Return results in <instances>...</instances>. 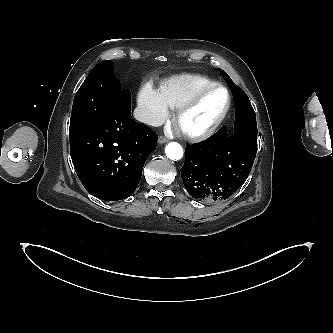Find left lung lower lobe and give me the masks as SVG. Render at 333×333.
Here are the masks:
<instances>
[{
    "label": "left lung lower lobe",
    "instance_id": "left-lung-lower-lobe-1",
    "mask_svg": "<svg viewBox=\"0 0 333 333\" xmlns=\"http://www.w3.org/2000/svg\"><path fill=\"white\" fill-rule=\"evenodd\" d=\"M256 152L254 137L236 124L232 136L223 126L208 139L188 145L181 169L187 192L206 203L226 200L249 175Z\"/></svg>",
    "mask_w": 333,
    "mask_h": 333
}]
</instances>
